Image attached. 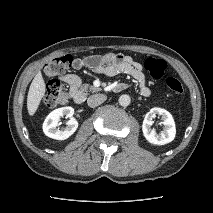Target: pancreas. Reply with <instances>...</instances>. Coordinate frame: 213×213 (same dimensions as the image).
I'll list each match as a JSON object with an SVG mask.
<instances>
[{"instance_id": "obj_1", "label": "pancreas", "mask_w": 213, "mask_h": 213, "mask_svg": "<svg viewBox=\"0 0 213 213\" xmlns=\"http://www.w3.org/2000/svg\"><path fill=\"white\" fill-rule=\"evenodd\" d=\"M84 90L89 91V92H96L99 91V88H95L93 86H89L88 84H84L83 86Z\"/></svg>"}]
</instances>
